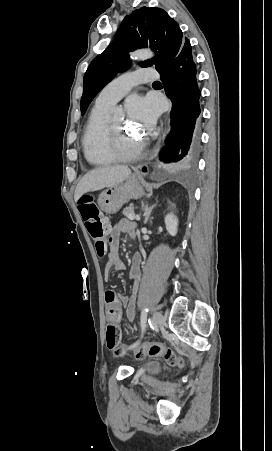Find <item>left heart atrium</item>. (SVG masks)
<instances>
[{
  "instance_id": "39dd6f15",
  "label": "left heart atrium",
  "mask_w": 272,
  "mask_h": 451,
  "mask_svg": "<svg viewBox=\"0 0 272 451\" xmlns=\"http://www.w3.org/2000/svg\"><path fill=\"white\" fill-rule=\"evenodd\" d=\"M126 107L129 122L135 126L137 131L145 132L153 128L157 116V107L150 98L132 97Z\"/></svg>"
}]
</instances>
